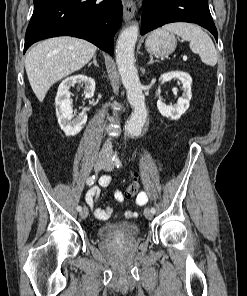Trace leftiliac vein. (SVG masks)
Returning a JSON list of instances; mask_svg holds the SVG:
<instances>
[{
	"label": "left iliac vein",
	"instance_id": "4c4485c4",
	"mask_svg": "<svg viewBox=\"0 0 247 296\" xmlns=\"http://www.w3.org/2000/svg\"><path fill=\"white\" fill-rule=\"evenodd\" d=\"M105 171H112L114 169V164L111 158H107L105 164L102 166ZM144 215L148 220L153 218V213L150 209L146 208L144 211Z\"/></svg>",
	"mask_w": 247,
	"mask_h": 296
}]
</instances>
